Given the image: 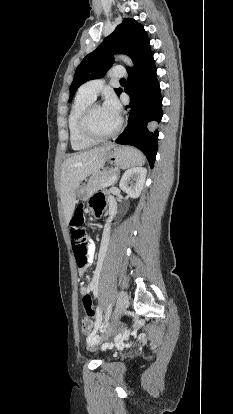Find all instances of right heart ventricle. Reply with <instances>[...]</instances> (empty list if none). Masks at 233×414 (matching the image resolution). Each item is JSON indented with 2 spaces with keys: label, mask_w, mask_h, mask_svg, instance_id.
Returning <instances> with one entry per match:
<instances>
[{
  "label": "right heart ventricle",
  "mask_w": 233,
  "mask_h": 414,
  "mask_svg": "<svg viewBox=\"0 0 233 414\" xmlns=\"http://www.w3.org/2000/svg\"><path fill=\"white\" fill-rule=\"evenodd\" d=\"M94 99L81 90L77 93L68 114V133L72 149L82 151L93 146L94 142L84 139L78 131V119L84 108Z\"/></svg>",
  "instance_id": "right-heart-ventricle-1"
}]
</instances>
